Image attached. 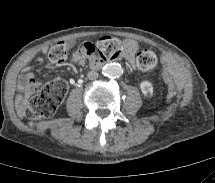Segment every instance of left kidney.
Wrapping results in <instances>:
<instances>
[{"label":"left kidney","mask_w":215,"mask_h":183,"mask_svg":"<svg viewBox=\"0 0 215 183\" xmlns=\"http://www.w3.org/2000/svg\"><path fill=\"white\" fill-rule=\"evenodd\" d=\"M140 89L144 96H151L153 94V86L149 81H142Z\"/></svg>","instance_id":"obj_1"}]
</instances>
